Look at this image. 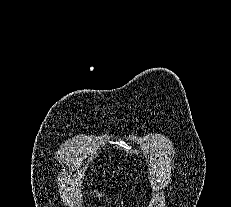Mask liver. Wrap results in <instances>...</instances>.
<instances>
[{"label": "liver", "instance_id": "obj_1", "mask_svg": "<svg viewBox=\"0 0 231 207\" xmlns=\"http://www.w3.org/2000/svg\"><path fill=\"white\" fill-rule=\"evenodd\" d=\"M100 196L102 197V196H103V194L101 193V194H98V195H97V197H100Z\"/></svg>", "mask_w": 231, "mask_h": 207}]
</instances>
